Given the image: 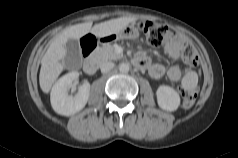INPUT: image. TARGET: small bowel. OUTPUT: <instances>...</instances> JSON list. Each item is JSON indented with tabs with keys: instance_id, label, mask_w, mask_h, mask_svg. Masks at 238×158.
Wrapping results in <instances>:
<instances>
[{
	"instance_id": "small-bowel-1",
	"label": "small bowel",
	"mask_w": 238,
	"mask_h": 158,
	"mask_svg": "<svg viewBox=\"0 0 238 158\" xmlns=\"http://www.w3.org/2000/svg\"><path fill=\"white\" fill-rule=\"evenodd\" d=\"M185 40L181 37L168 40L164 46L165 52L174 60L179 59ZM143 68L154 79H160L166 76L172 82H178L181 79L182 71L177 65L166 67L160 63H152L146 57H140Z\"/></svg>"
}]
</instances>
